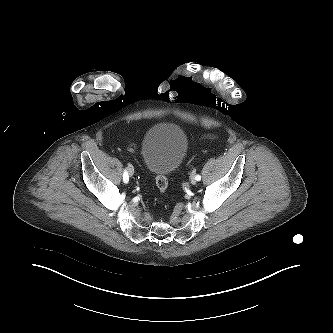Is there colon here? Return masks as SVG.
<instances>
[{
  "label": "colon",
  "instance_id": "5ec220e1",
  "mask_svg": "<svg viewBox=\"0 0 333 333\" xmlns=\"http://www.w3.org/2000/svg\"><path fill=\"white\" fill-rule=\"evenodd\" d=\"M130 150L135 151L136 147L135 146H130ZM156 185L157 188L159 189L160 193L164 195L167 191L168 188V181L166 176L159 174L156 176Z\"/></svg>",
  "mask_w": 333,
  "mask_h": 333
}]
</instances>
